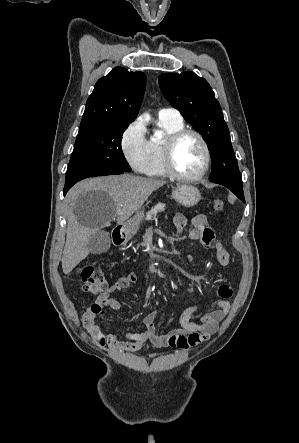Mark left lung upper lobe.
I'll return each mask as SVG.
<instances>
[{
  "instance_id": "left-lung-upper-lobe-1",
  "label": "left lung upper lobe",
  "mask_w": 299,
  "mask_h": 443,
  "mask_svg": "<svg viewBox=\"0 0 299 443\" xmlns=\"http://www.w3.org/2000/svg\"><path fill=\"white\" fill-rule=\"evenodd\" d=\"M159 85L165 98L180 111L208 144L212 161L210 181L242 185L230 133L219 102L208 82L195 73H164Z\"/></svg>"
}]
</instances>
